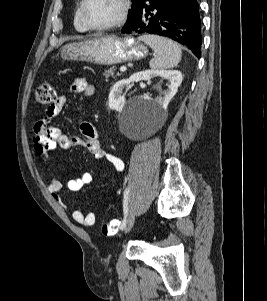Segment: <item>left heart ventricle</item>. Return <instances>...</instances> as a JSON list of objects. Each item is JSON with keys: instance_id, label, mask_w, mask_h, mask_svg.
Segmentation results:
<instances>
[{"instance_id": "obj_1", "label": "left heart ventricle", "mask_w": 267, "mask_h": 301, "mask_svg": "<svg viewBox=\"0 0 267 301\" xmlns=\"http://www.w3.org/2000/svg\"><path fill=\"white\" fill-rule=\"evenodd\" d=\"M120 11V0H88L86 17L91 24L100 26L115 21Z\"/></svg>"}]
</instances>
